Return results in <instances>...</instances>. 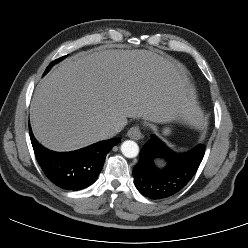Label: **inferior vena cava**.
<instances>
[{
  "instance_id": "obj_1",
  "label": "inferior vena cava",
  "mask_w": 248,
  "mask_h": 248,
  "mask_svg": "<svg viewBox=\"0 0 248 248\" xmlns=\"http://www.w3.org/2000/svg\"><path fill=\"white\" fill-rule=\"evenodd\" d=\"M122 130V127L119 125L112 126L107 129L106 133L109 137H113L117 133H119Z\"/></svg>"
}]
</instances>
